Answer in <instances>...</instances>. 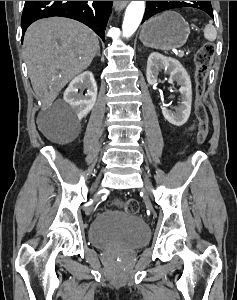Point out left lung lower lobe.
I'll return each mask as SVG.
<instances>
[{"instance_id":"obj_1","label":"left lung lower lobe","mask_w":237,"mask_h":300,"mask_svg":"<svg viewBox=\"0 0 237 300\" xmlns=\"http://www.w3.org/2000/svg\"><path fill=\"white\" fill-rule=\"evenodd\" d=\"M206 13H208L213 18V10H212V8H208V10L206 11Z\"/></svg>"}]
</instances>
